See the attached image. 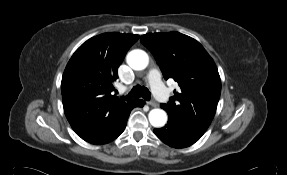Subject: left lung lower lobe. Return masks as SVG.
Returning a JSON list of instances; mask_svg holds the SVG:
<instances>
[{
	"instance_id": "left-lung-lower-lobe-1",
	"label": "left lung lower lobe",
	"mask_w": 287,
	"mask_h": 175,
	"mask_svg": "<svg viewBox=\"0 0 287 175\" xmlns=\"http://www.w3.org/2000/svg\"><path fill=\"white\" fill-rule=\"evenodd\" d=\"M154 133L161 141L174 148L188 147L201 137L170 118L164 127L154 129Z\"/></svg>"
}]
</instances>
